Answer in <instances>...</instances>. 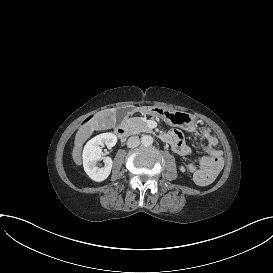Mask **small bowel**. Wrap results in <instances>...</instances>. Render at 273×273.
<instances>
[{
	"mask_svg": "<svg viewBox=\"0 0 273 273\" xmlns=\"http://www.w3.org/2000/svg\"><path fill=\"white\" fill-rule=\"evenodd\" d=\"M197 132L200 139L205 142L204 150L207 154L213 152L220 154V152L214 148V146L217 144V139L212 134L209 128L199 127ZM162 135L167 139L166 142L171 144L173 150L176 151L177 153L182 154L191 152V149L187 145L182 144L184 141V133L182 130L173 129L167 133H163ZM188 169L190 172L194 173L195 177L198 171L200 170L196 169L194 165H189Z\"/></svg>",
	"mask_w": 273,
	"mask_h": 273,
	"instance_id": "small-bowel-1",
	"label": "small bowel"
}]
</instances>
